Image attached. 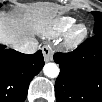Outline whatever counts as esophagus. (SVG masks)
<instances>
[{
  "label": "esophagus",
  "instance_id": "esophagus-1",
  "mask_svg": "<svg viewBox=\"0 0 102 102\" xmlns=\"http://www.w3.org/2000/svg\"><path fill=\"white\" fill-rule=\"evenodd\" d=\"M42 53H43L45 62H50L53 60L54 52L49 45H45L42 47Z\"/></svg>",
  "mask_w": 102,
  "mask_h": 102
}]
</instances>
